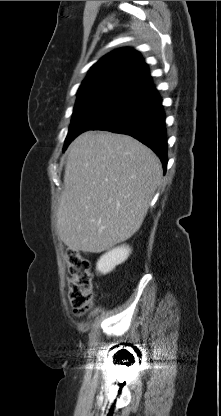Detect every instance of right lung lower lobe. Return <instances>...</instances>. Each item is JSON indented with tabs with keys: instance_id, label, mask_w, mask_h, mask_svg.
Returning a JSON list of instances; mask_svg holds the SVG:
<instances>
[{
	"instance_id": "98d812e1",
	"label": "right lung lower lobe",
	"mask_w": 221,
	"mask_h": 416,
	"mask_svg": "<svg viewBox=\"0 0 221 416\" xmlns=\"http://www.w3.org/2000/svg\"><path fill=\"white\" fill-rule=\"evenodd\" d=\"M92 130H106L130 135L160 158L163 171L167 167V140L162 99L152 87L124 98Z\"/></svg>"
}]
</instances>
